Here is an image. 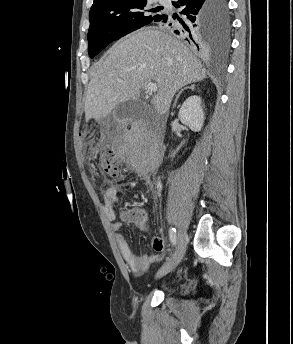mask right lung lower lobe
I'll return each mask as SVG.
<instances>
[{
  "mask_svg": "<svg viewBox=\"0 0 293 344\" xmlns=\"http://www.w3.org/2000/svg\"><path fill=\"white\" fill-rule=\"evenodd\" d=\"M216 0H177L173 4L181 9L180 16L162 15L156 22H161L197 48L211 51L229 41V27L221 34L213 20ZM226 41V42H224Z\"/></svg>",
  "mask_w": 293,
  "mask_h": 344,
  "instance_id": "obj_1",
  "label": "right lung lower lobe"
}]
</instances>
